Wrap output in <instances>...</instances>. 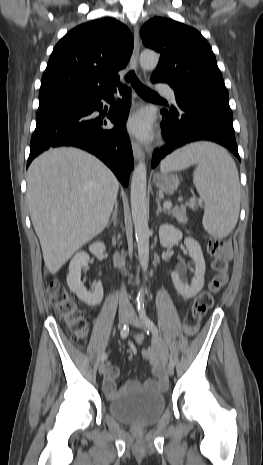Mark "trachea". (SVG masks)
<instances>
[{"label": "trachea", "instance_id": "3493384b", "mask_svg": "<svg viewBox=\"0 0 263 465\" xmlns=\"http://www.w3.org/2000/svg\"><path fill=\"white\" fill-rule=\"evenodd\" d=\"M126 81L130 82L135 91L143 98H154L159 97L157 93L145 87L137 78L134 71H129L126 75Z\"/></svg>", "mask_w": 263, "mask_h": 465}]
</instances>
